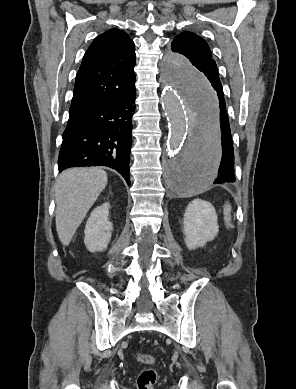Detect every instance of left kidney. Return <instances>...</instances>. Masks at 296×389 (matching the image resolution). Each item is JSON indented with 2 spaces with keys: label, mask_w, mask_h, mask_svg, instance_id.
<instances>
[{
  "label": "left kidney",
  "mask_w": 296,
  "mask_h": 389,
  "mask_svg": "<svg viewBox=\"0 0 296 389\" xmlns=\"http://www.w3.org/2000/svg\"><path fill=\"white\" fill-rule=\"evenodd\" d=\"M219 231L217 215L211 203L201 199L190 202L185 210L183 233L189 250L203 247Z\"/></svg>",
  "instance_id": "left-kidney-1"
}]
</instances>
